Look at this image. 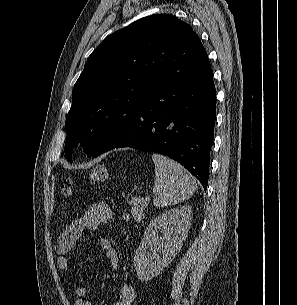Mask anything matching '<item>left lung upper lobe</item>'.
Listing matches in <instances>:
<instances>
[{
  "mask_svg": "<svg viewBox=\"0 0 297 305\" xmlns=\"http://www.w3.org/2000/svg\"><path fill=\"white\" fill-rule=\"evenodd\" d=\"M210 65L191 26L169 14L141 18L109 35L91 53L72 91L65 154L78 144L97 156L124 133L139 105L170 79Z\"/></svg>",
  "mask_w": 297,
  "mask_h": 305,
  "instance_id": "obj_1",
  "label": "left lung upper lobe"
}]
</instances>
